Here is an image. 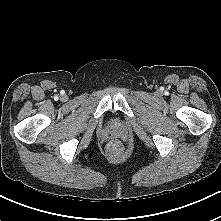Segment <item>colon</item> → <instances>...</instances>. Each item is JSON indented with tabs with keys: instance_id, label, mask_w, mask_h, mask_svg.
<instances>
[{
	"instance_id": "colon-1",
	"label": "colon",
	"mask_w": 221,
	"mask_h": 221,
	"mask_svg": "<svg viewBox=\"0 0 221 221\" xmlns=\"http://www.w3.org/2000/svg\"><path fill=\"white\" fill-rule=\"evenodd\" d=\"M109 149L113 153H119L122 151V146L119 142H113L110 144Z\"/></svg>"
}]
</instances>
